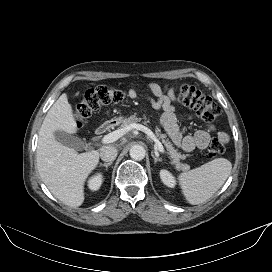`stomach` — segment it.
<instances>
[{
    "label": "stomach",
    "mask_w": 272,
    "mask_h": 272,
    "mask_svg": "<svg viewBox=\"0 0 272 272\" xmlns=\"http://www.w3.org/2000/svg\"><path fill=\"white\" fill-rule=\"evenodd\" d=\"M114 121H115V123L118 125V124H120V123L123 122V118H122V117H119V118H116Z\"/></svg>",
    "instance_id": "0dacf381"
}]
</instances>
